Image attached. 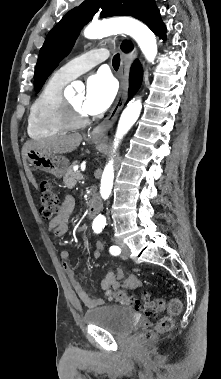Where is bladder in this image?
Returning a JSON list of instances; mask_svg holds the SVG:
<instances>
[{"mask_svg": "<svg viewBox=\"0 0 221 379\" xmlns=\"http://www.w3.org/2000/svg\"><path fill=\"white\" fill-rule=\"evenodd\" d=\"M84 321L103 327L115 335L125 336L138 325L139 318L127 307L102 305L85 311Z\"/></svg>", "mask_w": 221, "mask_h": 379, "instance_id": "31cf9c89", "label": "bladder"}]
</instances>
